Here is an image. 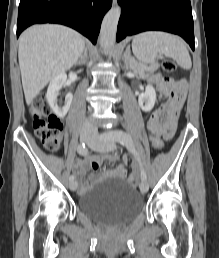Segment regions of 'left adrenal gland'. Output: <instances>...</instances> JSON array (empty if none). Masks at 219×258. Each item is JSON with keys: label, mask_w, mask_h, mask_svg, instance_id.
Instances as JSON below:
<instances>
[{"label": "left adrenal gland", "mask_w": 219, "mask_h": 258, "mask_svg": "<svg viewBox=\"0 0 219 258\" xmlns=\"http://www.w3.org/2000/svg\"><path fill=\"white\" fill-rule=\"evenodd\" d=\"M123 60L126 65V68L130 67V61H131V52H130V46L127 47L124 55H123Z\"/></svg>", "instance_id": "left-adrenal-gland-1"}]
</instances>
